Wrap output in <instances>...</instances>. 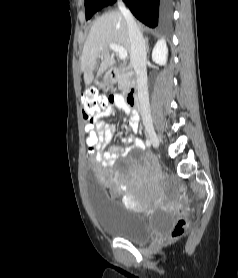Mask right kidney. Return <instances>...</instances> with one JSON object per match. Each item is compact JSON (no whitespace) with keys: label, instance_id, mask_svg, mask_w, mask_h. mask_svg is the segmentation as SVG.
<instances>
[{"label":"right kidney","instance_id":"ca27d5eb","mask_svg":"<svg viewBox=\"0 0 238 278\" xmlns=\"http://www.w3.org/2000/svg\"><path fill=\"white\" fill-rule=\"evenodd\" d=\"M168 49L164 39L159 40L152 52V60L159 65H165L167 61Z\"/></svg>","mask_w":238,"mask_h":278}]
</instances>
